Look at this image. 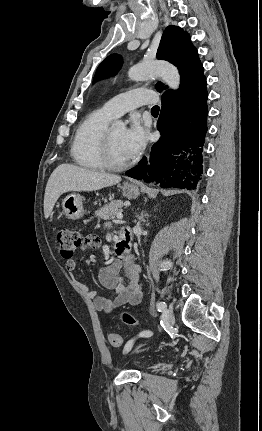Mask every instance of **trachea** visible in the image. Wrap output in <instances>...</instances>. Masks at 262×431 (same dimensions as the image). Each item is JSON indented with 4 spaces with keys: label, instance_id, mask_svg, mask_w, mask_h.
Listing matches in <instances>:
<instances>
[{
    "label": "trachea",
    "instance_id": "obj_1",
    "mask_svg": "<svg viewBox=\"0 0 262 431\" xmlns=\"http://www.w3.org/2000/svg\"><path fill=\"white\" fill-rule=\"evenodd\" d=\"M152 114H157L159 113V106H153L151 109Z\"/></svg>",
    "mask_w": 262,
    "mask_h": 431
}]
</instances>
